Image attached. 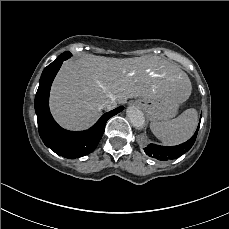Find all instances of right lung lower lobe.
Returning <instances> with one entry per match:
<instances>
[{
	"label": "right lung lower lobe",
	"mask_w": 229,
	"mask_h": 229,
	"mask_svg": "<svg viewBox=\"0 0 229 229\" xmlns=\"http://www.w3.org/2000/svg\"><path fill=\"white\" fill-rule=\"evenodd\" d=\"M66 56L57 58L48 65L40 78L35 96V112L38 130L44 144L56 154L65 158H79L93 152L102 137L109 118L123 110L120 106L106 114L90 129L81 132L68 131L61 128L53 119L49 110V93L51 84Z\"/></svg>",
	"instance_id": "obj_1"
}]
</instances>
